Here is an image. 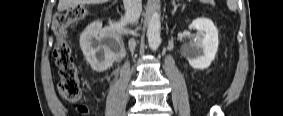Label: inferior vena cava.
Masks as SVG:
<instances>
[{
	"label": "inferior vena cava",
	"instance_id": "obj_1",
	"mask_svg": "<svg viewBox=\"0 0 283 116\" xmlns=\"http://www.w3.org/2000/svg\"><path fill=\"white\" fill-rule=\"evenodd\" d=\"M125 4V22L136 23L142 8L141 0H124Z\"/></svg>",
	"mask_w": 283,
	"mask_h": 116
}]
</instances>
